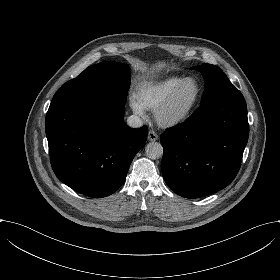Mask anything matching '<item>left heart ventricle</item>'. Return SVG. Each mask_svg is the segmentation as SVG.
<instances>
[{"mask_svg":"<svg viewBox=\"0 0 280 280\" xmlns=\"http://www.w3.org/2000/svg\"><path fill=\"white\" fill-rule=\"evenodd\" d=\"M199 92V85L196 80H188L175 100L174 110L183 111L194 104Z\"/></svg>","mask_w":280,"mask_h":280,"instance_id":"left-heart-ventricle-1","label":"left heart ventricle"}]
</instances>
